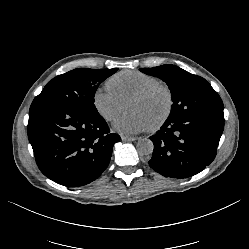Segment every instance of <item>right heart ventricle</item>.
I'll list each match as a JSON object with an SVG mask.
<instances>
[{"label":"right heart ventricle","instance_id":"right-heart-ventricle-1","mask_svg":"<svg viewBox=\"0 0 249 249\" xmlns=\"http://www.w3.org/2000/svg\"><path fill=\"white\" fill-rule=\"evenodd\" d=\"M155 83H159V79L153 75L137 70H123L112 75L106 85L122 102H125L137 92Z\"/></svg>","mask_w":249,"mask_h":249}]
</instances>
